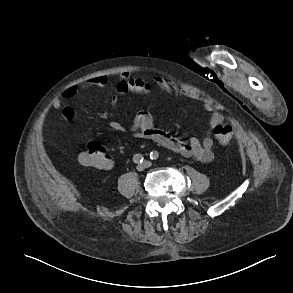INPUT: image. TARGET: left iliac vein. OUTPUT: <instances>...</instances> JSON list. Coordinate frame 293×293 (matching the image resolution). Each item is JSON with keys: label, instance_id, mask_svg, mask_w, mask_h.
<instances>
[{"label": "left iliac vein", "instance_id": "obj_1", "mask_svg": "<svg viewBox=\"0 0 293 293\" xmlns=\"http://www.w3.org/2000/svg\"><path fill=\"white\" fill-rule=\"evenodd\" d=\"M144 165H145L146 167H150V166H151V162H149V161H145V162H144Z\"/></svg>", "mask_w": 293, "mask_h": 293}]
</instances>
